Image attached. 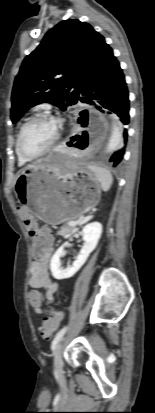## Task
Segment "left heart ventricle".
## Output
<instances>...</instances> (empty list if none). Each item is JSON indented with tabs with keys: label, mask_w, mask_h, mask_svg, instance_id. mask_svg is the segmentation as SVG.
Wrapping results in <instances>:
<instances>
[{
	"label": "left heart ventricle",
	"mask_w": 155,
	"mask_h": 413,
	"mask_svg": "<svg viewBox=\"0 0 155 413\" xmlns=\"http://www.w3.org/2000/svg\"><path fill=\"white\" fill-rule=\"evenodd\" d=\"M57 126L52 120H39L25 130L23 147L30 153H37L46 148L55 137Z\"/></svg>",
	"instance_id": "b2bd125f"
}]
</instances>
